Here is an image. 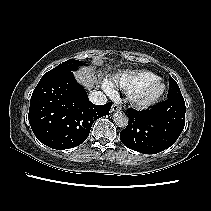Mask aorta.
I'll return each mask as SVG.
<instances>
[{
	"label": "aorta",
	"instance_id": "aorta-1",
	"mask_svg": "<svg viewBox=\"0 0 211 211\" xmlns=\"http://www.w3.org/2000/svg\"><path fill=\"white\" fill-rule=\"evenodd\" d=\"M113 121L119 126V127H126L128 124V117L123 112H115L113 114Z\"/></svg>",
	"mask_w": 211,
	"mask_h": 211
}]
</instances>
